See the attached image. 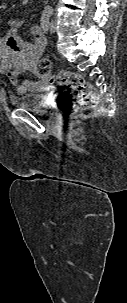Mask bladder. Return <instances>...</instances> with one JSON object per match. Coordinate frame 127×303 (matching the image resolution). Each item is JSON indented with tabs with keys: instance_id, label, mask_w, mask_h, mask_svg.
<instances>
[{
	"instance_id": "bladder-1",
	"label": "bladder",
	"mask_w": 127,
	"mask_h": 303,
	"mask_svg": "<svg viewBox=\"0 0 127 303\" xmlns=\"http://www.w3.org/2000/svg\"><path fill=\"white\" fill-rule=\"evenodd\" d=\"M10 102L15 108L35 113L45 114L48 110L40 94L24 93L13 95L10 97Z\"/></svg>"
}]
</instances>
